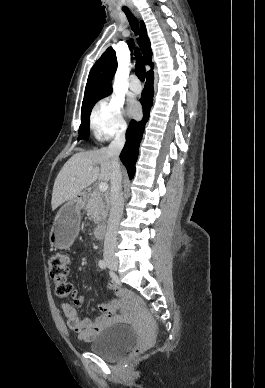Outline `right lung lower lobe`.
I'll return each mask as SVG.
<instances>
[{"label":"right lung lower lobe","mask_w":265,"mask_h":388,"mask_svg":"<svg viewBox=\"0 0 265 388\" xmlns=\"http://www.w3.org/2000/svg\"><path fill=\"white\" fill-rule=\"evenodd\" d=\"M153 81L154 73H147V80L142 92L140 102L143 106V119L139 122L132 120L126 131V143L120 154L122 163L126 166L129 178L132 179L135 174V163L139 154V145L143 136L144 127L149 119V112L153 104Z\"/></svg>","instance_id":"right-lung-lower-lobe-1"}]
</instances>
